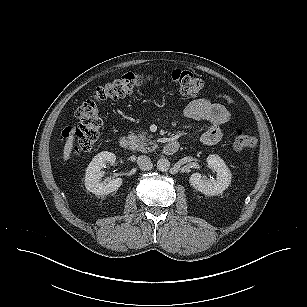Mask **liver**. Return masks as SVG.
I'll use <instances>...</instances> for the list:
<instances>
[{
	"label": "liver",
	"instance_id": "liver-1",
	"mask_svg": "<svg viewBox=\"0 0 307 307\" xmlns=\"http://www.w3.org/2000/svg\"><path fill=\"white\" fill-rule=\"evenodd\" d=\"M74 132V129L72 131V133ZM73 142H74V136L73 134H70L66 140L65 146H64V150H63V158L64 161H67L70 158L71 155V151L73 148Z\"/></svg>",
	"mask_w": 307,
	"mask_h": 307
}]
</instances>
